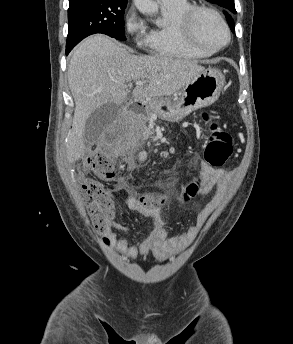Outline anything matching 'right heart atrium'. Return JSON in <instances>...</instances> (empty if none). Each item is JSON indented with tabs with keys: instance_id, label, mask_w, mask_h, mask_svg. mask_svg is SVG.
Masks as SVG:
<instances>
[{
	"instance_id": "d8ad5b80",
	"label": "right heart atrium",
	"mask_w": 293,
	"mask_h": 344,
	"mask_svg": "<svg viewBox=\"0 0 293 344\" xmlns=\"http://www.w3.org/2000/svg\"><path fill=\"white\" fill-rule=\"evenodd\" d=\"M123 25L126 34L134 38L138 45H142L145 38L146 24L134 8H129L125 13Z\"/></svg>"
}]
</instances>
